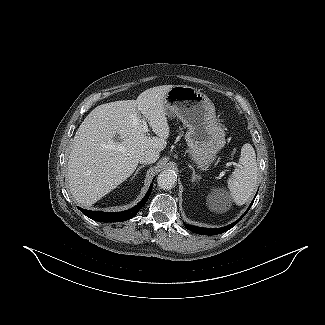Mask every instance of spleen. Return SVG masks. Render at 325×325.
<instances>
[{
  "instance_id": "obj_1",
  "label": "spleen",
  "mask_w": 325,
  "mask_h": 325,
  "mask_svg": "<svg viewBox=\"0 0 325 325\" xmlns=\"http://www.w3.org/2000/svg\"><path fill=\"white\" fill-rule=\"evenodd\" d=\"M239 164L240 167L236 168L228 179V188L233 201L237 205H243L252 196L258 179L256 154L251 144L243 145Z\"/></svg>"
}]
</instances>
